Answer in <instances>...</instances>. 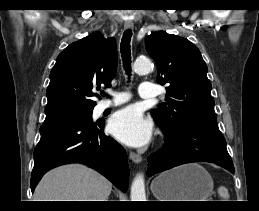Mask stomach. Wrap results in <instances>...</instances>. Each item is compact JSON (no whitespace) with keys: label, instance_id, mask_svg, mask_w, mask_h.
I'll return each mask as SVG.
<instances>
[{"label":"stomach","instance_id":"1","mask_svg":"<svg viewBox=\"0 0 259 211\" xmlns=\"http://www.w3.org/2000/svg\"><path fill=\"white\" fill-rule=\"evenodd\" d=\"M151 190L158 201H207L213 192V180L202 166L191 163L157 176Z\"/></svg>","mask_w":259,"mask_h":211}]
</instances>
